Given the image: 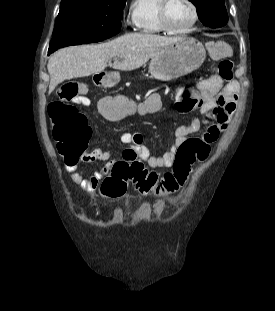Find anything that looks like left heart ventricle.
<instances>
[{
	"instance_id": "obj_1",
	"label": "left heart ventricle",
	"mask_w": 275,
	"mask_h": 311,
	"mask_svg": "<svg viewBox=\"0 0 275 311\" xmlns=\"http://www.w3.org/2000/svg\"><path fill=\"white\" fill-rule=\"evenodd\" d=\"M192 9L186 0H172L168 7V20L175 29L184 28L192 20Z\"/></svg>"
}]
</instances>
